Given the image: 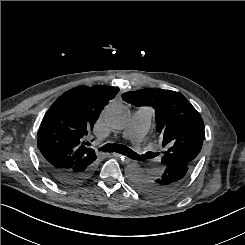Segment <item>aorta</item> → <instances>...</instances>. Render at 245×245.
Returning <instances> with one entry per match:
<instances>
[{"label": "aorta", "instance_id": "762f6f07", "mask_svg": "<svg viewBox=\"0 0 245 245\" xmlns=\"http://www.w3.org/2000/svg\"><path fill=\"white\" fill-rule=\"evenodd\" d=\"M105 122L116 130L124 129L130 121V111L123 104H110L104 110ZM144 175V169L136 163L128 164L125 168V176L134 182Z\"/></svg>", "mask_w": 245, "mask_h": 245}]
</instances>
